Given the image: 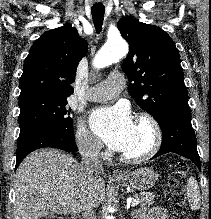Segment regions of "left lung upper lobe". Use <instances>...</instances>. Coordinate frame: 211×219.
<instances>
[{
	"mask_svg": "<svg viewBox=\"0 0 211 219\" xmlns=\"http://www.w3.org/2000/svg\"><path fill=\"white\" fill-rule=\"evenodd\" d=\"M117 27L130 46L122 69L129 93L157 122L172 109H190L179 52L171 37L157 26L122 18Z\"/></svg>",
	"mask_w": 211,
	"mask_h": 219,
	"instance_id": "obj_1",
	"label": "left lung upper lobe"
}]
</instances>
